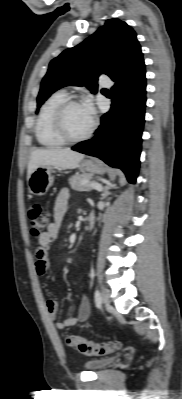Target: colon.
I'll use <instances>...</instances> for the list:
<instances>
[{
	"mask_svg": "<svg viewBox=\"0 0 182 399\" xmlns=\"http://www.w3.org/2000/svg\"><path fill=\"white\" fill-rule=\"evenodd\" d=\"M30 231L34 236L43 234L49 226V214L40 204H32L27 210ZM69 347L76 349L85 355H106L120 349L121 342L118 340L108 342H94L78 336L66 337Z\"/></svg>",
	"mask_w": 182,
	"mask_h": 399,
	"instance_id": "1",
	"label": "colon"
}]
</instances>
